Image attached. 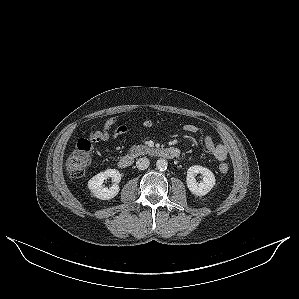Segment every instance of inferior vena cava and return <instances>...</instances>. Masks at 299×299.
<instances>
[{
	"label": "inferior vena cava",
	"instance_id": "obj_1",
	"mask_svg": "<svg viewBox=\"0 0 299 299\" xmlns=\"http://www.w3.org/2000/svg\"><path fill=\"white\" fill-rule=\"evenodd\" d=\"M149 165H150V161L146 157L139 158L136 162V166L139 170H145L149 167Z\"/></svg>",
	"mask_w": 299,
	"mask_h": 299
}]
</instances>
